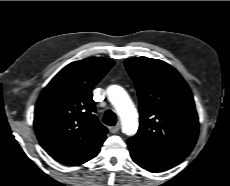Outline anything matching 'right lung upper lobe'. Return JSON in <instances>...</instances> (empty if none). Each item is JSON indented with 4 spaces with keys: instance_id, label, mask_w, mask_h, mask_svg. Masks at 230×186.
<instances>
[{
    "instance_id": "cb5924a9",
    "label": "right lung upper lobe",
    "mask_w": 230,
    "mask_h": 186,
    "mask_svg": "<svg viewBox=\"0 0 230 186\" xmlns=\"http://www.w3.org/2000/svg\"><path fill=\"white\" fill-rule=\"evenodd\" d=\"M114 64L101 57L72 62L41 92L34 127L41 146L58 162L80 165L99 153L108 131L94 115L91 91Z\"/></svg>"
}]
</instances>
